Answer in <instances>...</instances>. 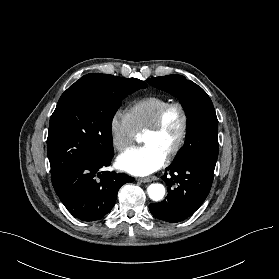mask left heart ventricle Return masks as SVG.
Listing matches in <instances>:
<instances>
[{
  "label": "left heart ventricle",
  "mask_w": 279,
  "mask_h": 279,
  "mask_svg": "<svg viewBox=\"0 0 279 279\" xmlns=\"http://www.w3.org/2000/svg\"><path fill=\"white\" fill-rule=\"evenodd\" d=\"M182 127V117L177 108L171 109L164 120L162 128L155 132L145 134L143 141L159 149L167 155L176 144Z\"/></svg>",
  "instance_id": "obj_1"
}]
</instances>
